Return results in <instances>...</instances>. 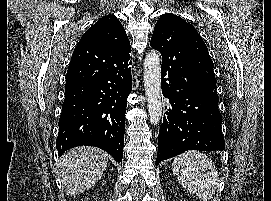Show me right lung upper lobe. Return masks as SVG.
Segmentation results:
<instances>
[{
    "label": "right lung upper lobe",
    "instance_id": "obj_1",
    "mask_svg": "<svg viewBox=\"0 0 271 201\" xmlns=\"http://www.w3.org/2000/svg\"><path fill=\"white\" fill-rule=\"evenodd\" d=\"M97 45L121 52L130 58V42L120 21L113 15L99 19L81 37L77 45Z\"/></svg>",
    "mask_w": 271,
    "mask_h": 201
}]
</instances>
